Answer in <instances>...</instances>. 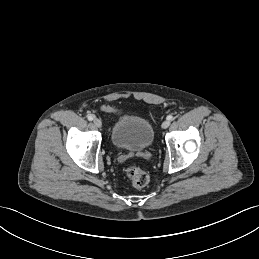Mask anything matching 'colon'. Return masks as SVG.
<instances>
[{"label":"colon","mask_w":259,"mask_h":259,"mask_svg":"<svg viewBox=\"0 0 259 259\" xmlns=\"http://www.w3.org/2000/svg\"><path fill=\"white\" fill-rule=\"evenodd\" d=\"M104 110L107 113L115 114L118 113L119 110L113 107H105ZM125 175L129 182L136 188H142L146 186L149 182L148 173L140 167L130 166L126 169Z\"/></svg>","instance_id":"1"}]
</instances>
